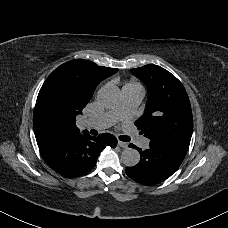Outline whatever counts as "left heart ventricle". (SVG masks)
<instances>
[{"instance_id": "obj_1", "label": "left heart ventricle", "mask_w": 228, "mask_h": 228, "mask_svg": "<svg viewBox=\"0 0 228 228\" xmlns=\"http://www.w3.org/2000/svg\"><path fill=\"white\" fill-rule=\"evenodd\" d=\"M121 117L120 113H116V120H118Z\"/></svg>"}]
</instances>
